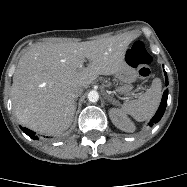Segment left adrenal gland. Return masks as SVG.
<instances>
[{
	"instance_id": "obj_1",
	"label": "left adrenal gland",
	"mask_w": 187,
	"mask_h": 187,
	"mask_svg": "<svg viewBox=\"0 0 187 187\" xmlns=\"http://www.w3.org/2000/svg\"><path fill=\"white\" fill-rule=\"evenodd\" d=\"M106 98H107L108 102H110L111 104H115L116 103V101L112 97L106 95Z\"/></svg>"
}]
</instances>
